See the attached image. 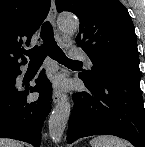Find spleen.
<instances>
[{"label": "spleen", "instance_id": "1", "mask_svg": "<svg viewBox=\"0 0 145 147\" xmlns=\"http://www.w3.org/2000/svg\"><path fill=\"white\" fill-rule=\"evenodd\" d=\"M92 147H126V143L114 136H98L91 140Z\"/></svg>", "mask_w": 145, "mask_h": 147}]
</instances>
